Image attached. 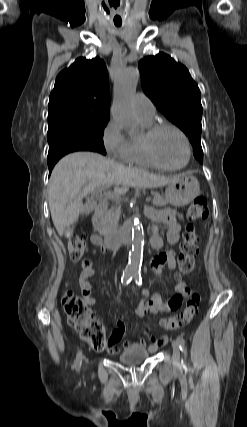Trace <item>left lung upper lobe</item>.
Returning a JSON list of instances; mask_svg holds the SVG:
<instances>
[{
    "mask_svg": "<svg viewBox=\"0 0 247 427\" xmlns=\"http://www.w3.org/2000/svg\"><path fill=\"white\" fill-rule=\"evenodd\" d=\"M142 88L158 110L189 138L195 158L203 163L200 90L187 68L159 53L139 62Z\"/></svg>",
    "mask_w": 247,
    "mask_h": 427,
    "instance_id": "left-lung-upper-lobe-1",
    "label": "left lung upper lobe"
}]
</instances>
